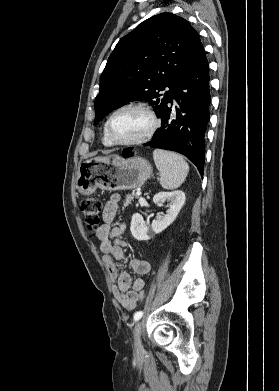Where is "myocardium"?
<instances>
[{
	"label": "myocardium",
	"mask_w": 279,
	"mask_h": 391,
	"mask_svg": "<svg viewBox=\"0 0 279 391\" xmlns=\"http://www.w3.org/2000/svg\"><path fill=\"white\" fill-rule=\"evenodd\" d=\"M126 109H137V110L144 112L148 116V118L150 119V127L143 135H141L138 138H135V139L129 140V141H118V140L114 139L111 135V132H110L111 122L117 113H119L120 111L126 110ZM159 126H160V121L151 106H149L148 104L143 103V102H129V103H126V104L119 106L110 114V116L108 117L106 124H105V133H106L108 140L110 141V143L112 145L133 146V145H139V144H142V143L149 141L154 136V134L158 130Z\"/></svg>",
	"instance_id": "1"
}]
</instances>
